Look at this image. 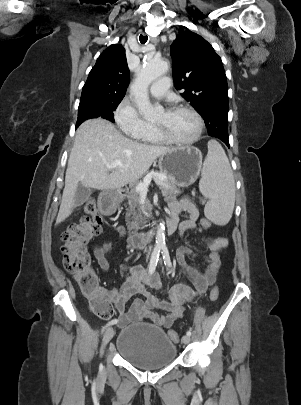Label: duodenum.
Segmentation results:
<instances>
[{"instance_id":"obj_1","label":"duodenum","mask_w":301,"mask_h":405,"mask_svg":"<svg viewBox=\"0 0 301 405\" xmlns=\"http://www.w3.org/2000/svg\"><path fill=\"white\" fill-rule=\"evenodd\" d=\"M124 197L123 190H104L103 194L98 196V207L100 213H103L104 219H111L112 213L116 212V208L122 205ZM177 228V221L169 219L165 225V232L172 234ZM155 231L136 233L129 237V243L136 249H142L151 243Z\"/></svg>"}]
</instances>
